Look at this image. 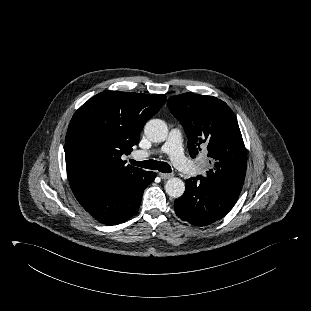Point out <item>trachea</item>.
Returning a JSON list of instances; mask_svg holds the SVG:
<instances>
[{"instance_id":"trachea-1","label":"trachea","mask_w":311,"mask_h":311,"mask_svg":"<svg viewBox=\"0 0 311 311\" xmlns=\"http://www.w3.org/2000/svg\"><path fill=\"white\" fill-rule=\"evenodd\" d=\"M130 163L134 166L151 169V170H158L163 173H171V167L167 162H161L156 160H145V161H135L133 159L130 160Z\"/></svg>"}]
</instances>
